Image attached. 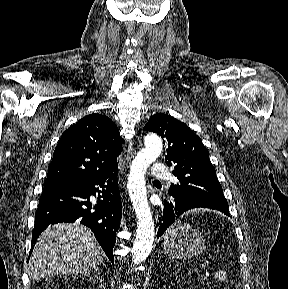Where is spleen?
<instances>
[{
	"mask_svg": "<svg viewBox=\"0 0 288 289\" xmlns=\"http://www.w3.org/2000/svg\"><path fill=\"white\" fill-rule=\"evenodd\" d=\"M189 227V225L185 224V225H181V224H177V225H174L172 226L165 234V236H169V235H172L174 234L178 229H184V228H187Z\"/></svg>",
	"mask_w": 288,
	"mask_h": 289,
	"instance_id": "1",
	"label": "spleen"
}]
</instances>
